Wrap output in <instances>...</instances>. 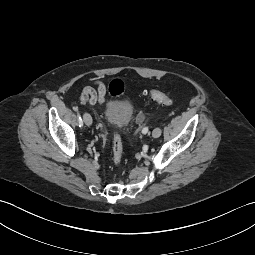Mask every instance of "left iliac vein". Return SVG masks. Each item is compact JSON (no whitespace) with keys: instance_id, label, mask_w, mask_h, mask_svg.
Segmentation results:
<instances>
[{"instance_id":"obj_1","label":"left iliac vein","mask_w":255,"mask_h":255,"mask_svg":"<svg viewBox=\"0 0 255 255\" xmlns=\"http://www.w3.org/2000/svg\"><path fill=\"white\" fill-rule=\"evenodd\" d=\"M162 133V130L160 128H155L152 132V136L154 138H158Z\"/></svg>"}]
</instances>
